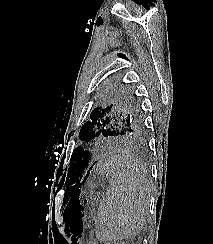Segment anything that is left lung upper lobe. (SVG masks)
I'll list each match as a JSON object with an SVG mask.
<instances>
[{
	"label": "left lung upper lobe",
	"mask_w": 213,
	"mask_h": 244,
	"mask_svg": "<svg viewBox=\"0 0 213 244\" xmlns=\"http://www.w3.org/2000/svg\"><path fill=\"white\" fill-rule=\"evenodd\" d=\"M142 113L139 101L128 87H117L106 101L95 108L90 120L82 126L81 141H91L99 136H143ZM91 155L83 147H77L71 157L67 173V191L79 188Z\"/></svg>",
	"instance_id": "obj_1"
}]
</instances>
